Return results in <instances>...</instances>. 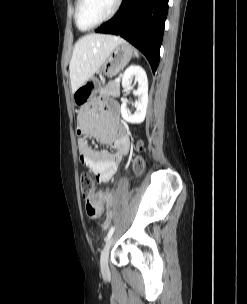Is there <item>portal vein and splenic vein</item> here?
<instances>
[{"mask_svg":"<svg viewBox=\"0 0 247 304\" xmlns=\"http://www.w3.org/2000/svg\"><path fill=\"white\" fill-rule=\"evenodd\" d=\"M115 81H116V82H119V81H120V77L116 78Z\"/></svg>","mask_w":247,"mask_h":304,"instance_id":"1","label":"portal vein and splenic vein"}]
</instances>
